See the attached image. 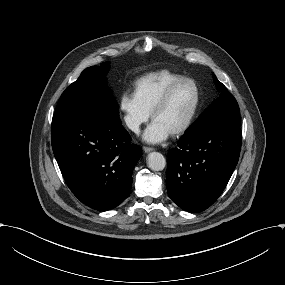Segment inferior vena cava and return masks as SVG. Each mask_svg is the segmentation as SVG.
<instances>
[{"label":"inferior vena cava","instance_id":"obj_1","mask_svg":"<svg viewBox=\"0 0 285 285\" xmlns=\"http://www.w3.org/2000/svg\"><path fill=\"white\" fill-rule=\"evenodd\" d=\"M125 122L127 124V126L132 129L133 131L136 130L139 127V124L137 122V120L133 119L130 116H126L125 117Z\"/></svg>","mask_w":285,"mask_h":285}]
</instances>
